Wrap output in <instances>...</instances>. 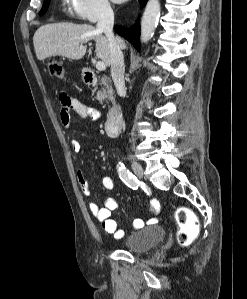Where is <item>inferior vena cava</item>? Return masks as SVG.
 <instances>
[{
    "mask_svg": "<svg viewBox=\"0 0 247 299\" xmlns=\"http://www.w3.org/2000/svg\"><path fill=\"white\" fill-rule=\"evenodd\" d=\"M114 13L109 4H103L99 11L97 30L105 33L110 45L111 76L114 81L117 93L125 94V65L124 57L118 40L113 34Z\"/></svg>",
    "mask_w": 247,
    "mask_h": 299,
    "instance_id": "inferior-vena-cava-1",
    "label": "inferior vena cava"
}]
</instances>
